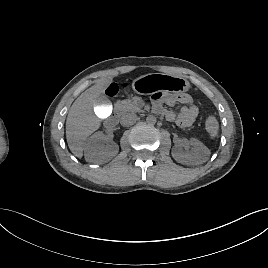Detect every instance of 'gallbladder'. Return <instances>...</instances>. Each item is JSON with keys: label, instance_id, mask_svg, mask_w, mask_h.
<instances>
[{"label": "gallbladder", "instance_id": "gallbladder-1", "mask_svg": "<svg viewBox=\"0 0 268 268\" xmlns=\"http://www.w3.org/2000/svg\"><path fill=\"white\" fill-rule=\"evenodd\" d=\"M94 109H95L97 116L101 118H106L110 116L112 112V104L110 103L109 99L105 95H102L101 98H99L95 102Z\"/></svg>", "mask_w": 268, "mask_h": 268}]
</instances>
